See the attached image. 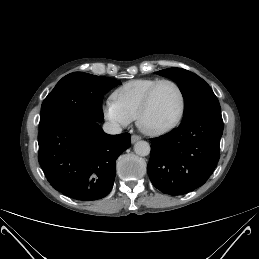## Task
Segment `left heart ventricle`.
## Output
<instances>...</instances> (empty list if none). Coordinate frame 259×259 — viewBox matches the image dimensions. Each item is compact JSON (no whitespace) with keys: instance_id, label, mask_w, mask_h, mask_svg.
<instances>
[{"instance_id":"b2bd125f","label":"left heart ventricle","mask_w":259,"mask_h":259,"mask_svg":"<svg viewBox=\"0 0 259 259\" xmlns=\"http://www.w3.org/2000/svg\"><path fill=\"white\" fill-rule=\"evenodd\" d=\"M180 108V98L176 88L163 83L155 90L148 112L144 117V125L157 129L168 125L177 116Z\"/></svg>"}]
</instances>
